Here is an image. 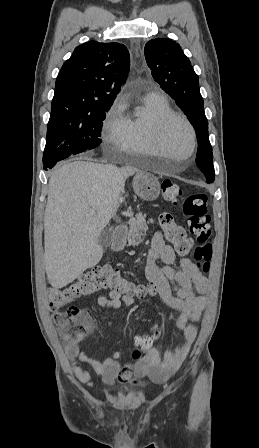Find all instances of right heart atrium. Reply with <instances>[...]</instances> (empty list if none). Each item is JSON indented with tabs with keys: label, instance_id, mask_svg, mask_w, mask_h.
I'll return each instance as SVG.
<instances>
[{
	"label": "right heart atrium",
	"instance_id": "1",
	"mask_svg": "<svg viewBox=\"0 0 259 448\" xmlns=\"http://www.w3.org/2000/svg\"><path fill=\"white\" fill-rule=\"evenodd\" d=\"M121 110V101L117 97L111 105L100 128V144L104 150L125 151L126 135L118 113Z\"/></svg>",
	"mask_w": 259,
	"mask_h": 448
}]
</instances>
